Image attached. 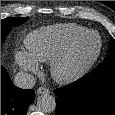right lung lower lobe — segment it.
I'll return each instance as SVG.
<instances>
[{
  "instance_id": "obj_1",
  "label": "right lung lower lobe",
  "mask_w": 115,
  "mask_h": 115,
  "mask_svg": "<svg viewBox=\"0 0 115 115\" xmlns=\"http://www.w3.org/2000/svg\"><path fill=\"white\" fill-rule=\"evenodd\" d=\"M35 99L32 89H20L10 80L6 70L1 67V115H26Z\"/></svg>"
}]
</instances>
